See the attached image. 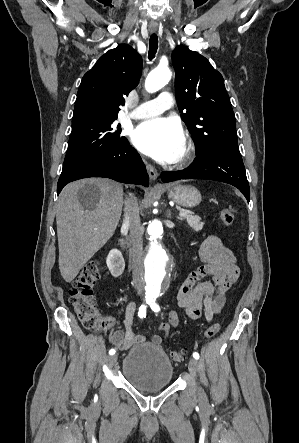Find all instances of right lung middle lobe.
<instances>
[{"instance_id":"right-lung-middle-lobe-1","label":"right lung middle lobe","mask_w":299,"mask_h":443,"mask_svg":"<svg viewBox=\"0 0 299 443\" xmlns=\"http://www.w3.org/2000/svg\"><path fill=\"white\" fill-rule=\"evenodd\" d=\"M117 117L87 118L72 123L68 150L62 171L103 152L120 148L127 139L121 136V127L113 124Z\"/></svg>"}]
</instances>
